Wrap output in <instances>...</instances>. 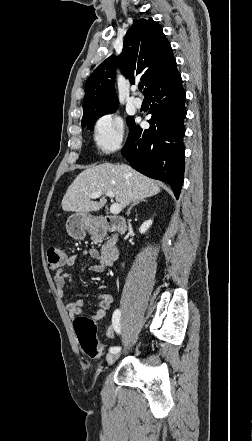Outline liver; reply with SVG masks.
<instances>
[{
  "label": "liver",
  "instance_id": "1",
  "mask_svg": "<svg viewBox=\"0 0 252 441\" xmlns=\"http://www.w3.org/2000/svg\"><path fill=\"white\" fill-rule=\"evenodd\" d=\"M114 193L116 202L125 208L131 202L142 201L158 194L159 184L140 174L126 164H110L88 167L75 178L62 199V209L79 213L98 211L106 204L105 193ZM101 192L99 201L90 195Z\"/></svg>",
  "mask_w": 252,
  "mask_h": 441
}]
</instances>
